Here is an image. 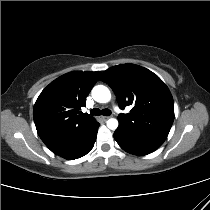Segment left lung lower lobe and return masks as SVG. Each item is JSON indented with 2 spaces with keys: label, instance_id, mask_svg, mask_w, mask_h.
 I'll return each mask as SVG.
<instances>
[{
  "label": "left lung lower lobe",
  "instance_id": "0a47b994",
  "mask_svg": "<svg viewBox=\"0 0 210 210\" xmlns=\"http://www.w3.org/2000/svg\"><path fill=\"white\" fill-rule=\"evenodd\" d=\"M114 138L123 150L134 155H147L152 153L163 143L158 140L127 135L118 130L115 131Z\"/></svg>",
  "mask_w": 210,
  "mask_h": 210
}]
</instances>
